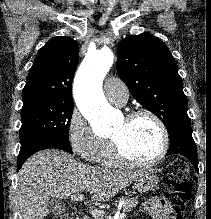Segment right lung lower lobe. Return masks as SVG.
I'll list each match as a JSON object with an SVG mask.
<instances>
[{"label": "right lung lower lobe", "mask_w": 211, "mask_h": 219, "mask_svg": "<svg viewBox=\"0 0 211 219\" xmlns=\"http://www.w3.org/2000/svg\"><path fill=\"white\" fill-rule=\"evenodd\" d=\"M48 148H56V149H61L64 151H67L69 153H73L71 147H67L65 145L52 142V141H41L34 143L25 149L20 150L19 156H18V162H17V172L21 168L22 164L35 152L43 149H48Z\"/></svg>", "instance_id": "98d812e1"}]
</instances>
